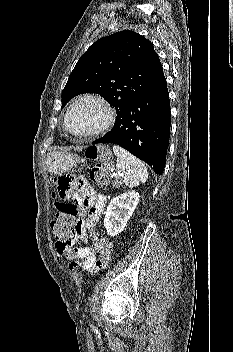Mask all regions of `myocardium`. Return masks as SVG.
I'll list each match as a JSON object with an SVG mask.
<instances>
[{
	"label": "myocardium",
	"instance_id": "1",
	"mask_svg": "<svg viewBox=\"0 0 233 352\" xmlns=\"http://www.w3.org/2000/svg\"><path fill=\"white\" fill-rule=\"evenodd\" d=\"M83 101H93V102L99 104L103 108V110L105 111V118H104L103 122L99 126H97L95 129L88 131V132L81 133V132L75 131L72 128V126L70 124V115H71V112L74 109V107ZM114 121H115V112H114L112 106L104 98H102L101 96L95 95V94H86V95H82V96L78 97L77 99H75L68 107L66 115H65V127L69 131V133H71L75 137L84 138V139L92 138V137H95V136L102 134L103 132L108 130L113 125Z\"/></svg>",
	"mask_w": 233,
	"mask_h": 352
}]
</instances>
